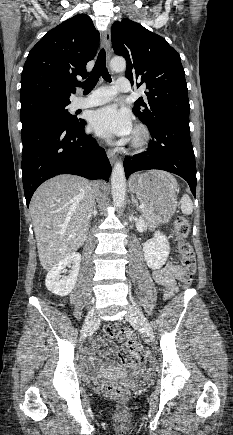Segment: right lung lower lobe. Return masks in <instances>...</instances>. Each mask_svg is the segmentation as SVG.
<instances>
[{"mask_svg": "<svg viewBox=\"0 0 233 435\" xmlns=\"http://www.w3.org/2000/svg\"><path fill=\"white\" fill-rule=\"evenodd\" d=\"M86 122L68 125L49 122L21 132L22 178L26 204L47 179L74 174L88 179H109L111 164L95 139L86 135Z\"/></svg>", "mask_w": 233, "mask_h": 435, "instance_id": "98d812e1", "label": "right lung lower lobe"}]
</instances>
